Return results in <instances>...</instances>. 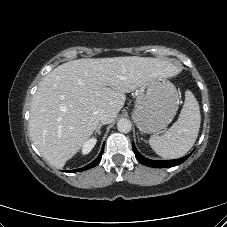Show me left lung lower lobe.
<instances>
[{
	"label": "left lung lower lobe",
	"instance_id": "0a47b994",
	"mask_svg": "<svg viewBox=\"0 0 227 227\" xmlns=\"http://www.w3.org/2000/svg\"><path fill=\"white\" fill-rule=\"evenodd\" d=\"M133 151L135 153V156L137 157V159L144 165L148 166V167H155V168H168V167H173L176 166L178 164L183 163L186 159H188V157L190 156H184L182 158L179 159H175V160H165V161H155V160H150L145 158L144 156H142L136 149L134 143H133Z\"/></svg>",
	"mask_w": 227,
	"mask_h": 227
}]
</instances>
